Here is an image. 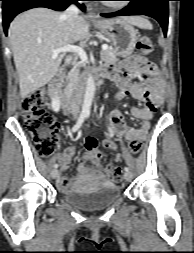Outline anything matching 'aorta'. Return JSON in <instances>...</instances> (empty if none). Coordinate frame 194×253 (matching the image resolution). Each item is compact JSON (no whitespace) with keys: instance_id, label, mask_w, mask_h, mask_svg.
Returning a JSON list of instances; mask_svg holds the SVG:
<instances>
[{"instance_id":"1","label":"aorta","mask_w":194,"mask_h":253,"mask_svg":"<svg viewBox=\"0 0 194 253\" xmlns=\"http://www.w3.org/2000/svg\"><path fill=\"white\" fill-rule=\"evenodd\" d=\"M95 93V82L92 75H88L86 82V90L82 106L83 113H89Z\"/></svg>"}]
</instances>
